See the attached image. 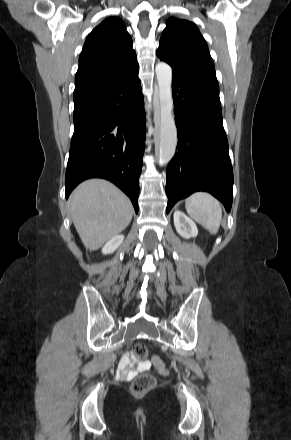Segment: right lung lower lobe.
<instances>
[{
    "mask_svg": "<svg viewBox=\"0 0 291 440\" xmlns=\"http://www.w3.org/2000/svg\"><path fill=\"white\" fill-rule=\"evenodd\" d=\"M73 99L66 198L83 180L105 178L129 196L137 213L146 132L138 70L113 82L77 88Z\"/></svg>",
    "mask_w": 291,
    "mask_h": 440,
    "instance_id": "right-lung-lower-lobe-1",
    "label": "right lung lower lobe"
}]
</instances>
